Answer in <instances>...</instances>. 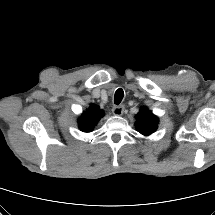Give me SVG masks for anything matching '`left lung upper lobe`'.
<instances>
[{
	"label": "left lung upper lobe",
	"mask_w": 215,
	"mask_h": 215,
	"mask_svg": "<svg viewBox=\"0 0 215 215\" xmlns=\"http://www.w3.org/2000/svg\"><path fill=\"white\" fill-rule=\"evenodd\" d=\"M135 118V127L141 134L148 136L156 131L159 119L147 108H141Z\"/></svg>",
	"instance_id": "left-lung-upper-lobe-1"
}]
</instances>
